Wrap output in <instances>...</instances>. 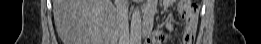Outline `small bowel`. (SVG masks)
I'll return each mask as SVG.
<instances>
[{
	"label": "small bowel",
	"instance_id": "small-bowel-1",
	"mask_svg": "<svg viewBox=\"0 0 261 44\" xmlns=\"http://www.w3.org/2000/svg\"><path fill=\"white\" fill-rule=\"evenodd\" d=\"M173 1H162V5L165 7L170 6ZM157 2L151 1L147 4L145 13L150 16L152 20L154 19L156 13ZM180 12L185 20V30L182 36L183 44H193L196 32H197V22H198V13L197 9L191 6H180ZM165 31L161 29L152 28L150 35L147 36L145 43L146 44H161L164 43L168 38L170 33L173 31V24L170 18L166 19Z\"/></svg>",
	"mask_w": 261,
	"mask_h": 44
}]
</instances>
